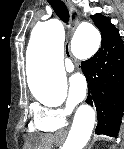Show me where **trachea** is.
I'll list each match as a JSON object with an SVG mask.
<instances>
[{
	"mask_svg": "<svg viewBox=\"0 0 124 149\" xmlns=\"http://www.w3.org/2000/svg\"><path fill=\"white\" fill-rule=\"evenodd\" d=\"M56 15L64 22H69V11L65 3L61 0H48Z\"/></svg>",
	"mask_w": 124,
	"mask_h": 149,
	"instance_id": "obj_1",
	"label": "trachea"
}]
</instances>
